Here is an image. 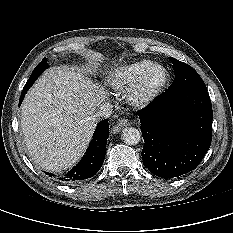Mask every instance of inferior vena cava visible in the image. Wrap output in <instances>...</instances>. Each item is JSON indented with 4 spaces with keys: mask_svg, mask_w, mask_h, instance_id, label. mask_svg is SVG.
<instances>
[{
    "mask_svg": "<svg viewBox=\"0 0 233 233\" xmlns=\"http://www.w3.org/2000/svg\"><path fill=\"white\" fill-rule=\"evenodd\" d=\"M113 106L110 103H103L99 110L96 112V118H109L112 114Z\"/></svg>",
    "mask_w": 233,
    "mask_h": 233,
    "instance_id": "602c4592",
    "label": "inferior vena cava"
}]
</instances>
